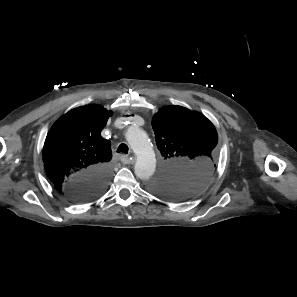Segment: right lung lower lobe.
I'll use <instances>...</instances> for the list:
<instances>
[{
	"label": "right lung lower lobe",
	"instance_id": "right-lung-lower-lobe-1",
	"mask_svg": "<svg viewBox=\"0 0 297 297\" xmlns=\"http://www.w3.org/2000/svg\"><path fill=\"white\" fill-rule=\"evenodd\" d=\"M110 178L109 167H96L73 176L63 194L74 202H85L97 197L106 188Z\"/></svg>",
	"mask_w": 297,
	"mask_h": 297
}]
</instances>
